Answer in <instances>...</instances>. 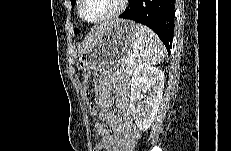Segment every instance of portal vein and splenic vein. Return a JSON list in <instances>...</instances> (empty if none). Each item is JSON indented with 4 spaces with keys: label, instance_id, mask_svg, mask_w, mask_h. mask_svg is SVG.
I'll return each mask as SVG.
<instances>
[{
    "label": "portal vein and splenic vein",
    "instance_id": "18ae733b",
    "mask_svg": "<svg viewBox=\"0 0 231 151\" xmlns=\"http://www.w3.org/2000/svg\"><path fill=\"white\" fill-rule=\"evenodd\" d=\"M133 60H134V55H130V56H128V57L124 60V62H126V63H132Z\"/></svg>",
    "mask_w": 231,
    "mask_h": 151
}]
</instances>
